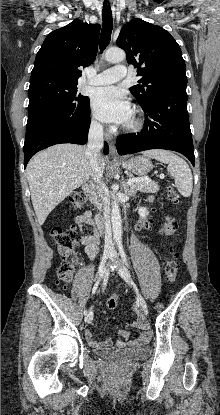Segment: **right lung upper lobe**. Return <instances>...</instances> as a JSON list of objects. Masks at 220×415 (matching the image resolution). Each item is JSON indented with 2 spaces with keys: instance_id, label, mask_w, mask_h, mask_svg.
<instances>
[{
  "instance_id": "right-lung-upper-lobe-1",
  "label": "right lung upper lobe",
  "mask_w": 220,
  "mask_h": 415,
  "mask_svg": "<svg viewBox=\"0 0 220 415\" xmlns=\"http://www.w3.org/2000/svg\"><path fill=\"white\" fill-rule=\"evenodd\" d=\"M99 33L100 25L79 19L51 32L36 55L30 80L47 77L78 82L79 67L96 58Z\"/></svg>"
}]
</instances>
